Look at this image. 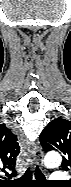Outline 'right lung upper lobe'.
Here are the masks:
<instances>
[{
  "label": "right lung upper lobe",
  "mask_w": 71,
  "mask_h": 187,
  "mask_svg": "<svg viewBox=\"0 0 71 187\" xmlns=\"http://www.w3.org/2000/svg\"><path fill=\"white\" fill-rule=\"evenodd\" d=\"M20 153L17 136L5 124L0 125V157L4 167L16 174L14 170L16 159Z\"/></svg>",
  "instance_id": "obj_1"
}]
</instances>
